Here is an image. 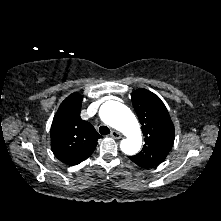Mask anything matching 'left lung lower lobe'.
Instances as JSON below:
<instances>
[{
	"instance_id": "obj_1",
	"label": "left lung lower lobe",
	"mask_w": 221,
	"mask_h": 221,
	"mask_svg": "<svg viewBox=\"0 0 221 221\" xmlns=\"http://www.w3.org/2000/svg\"><path fill=\"white\" fill-rule=\"evenodd\" d=\"M137 164V163H136ZM138 166H140V167H142V168H149V167H147V166H143V165H141V164H137Z\"/></svg>"
}]
</instances>
